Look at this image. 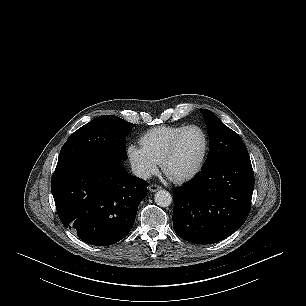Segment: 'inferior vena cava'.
<instances>
[{"mask_svg": "<svg viewBox=\"0 0 306 306\" xmlns=\"http://www.w3.org/2000/svg\"><path fill=\"white\" fill-rule=\"evenodd\" d=\"M132 172L135 176L142 178V179H147L151 177L150 171L148 170L147 167L143 165L132 166Z\"/></svg>", "mask_w": 306, "mask_h": 306, "instance_id": "obj_1", "label": "inferior vena cava"}]
</instances>
